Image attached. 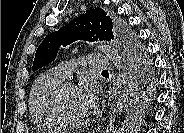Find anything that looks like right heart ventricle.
Returning a JSON list of instances; mask_svg holds the SVG:
<instances>
[{"label": "right heart ventricle", "mask_w": 184, "mask_h": 133, "mask_svg": "<svg viewBox=\"0 0 184 133\" xmlns=\"http://www.w3.org/2000/svg\"><path fill=\"white\" fill-rule=\"evenodd\" d=\"M64 81L56 69L42 73L34 82L30 93V110L33 118L43 126H56L58 119L51 109L54 89Z\"/></svg>", "instance_id": "obj_1"}]
</instances>
